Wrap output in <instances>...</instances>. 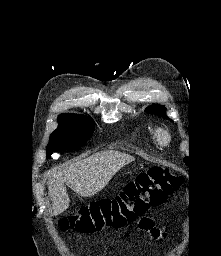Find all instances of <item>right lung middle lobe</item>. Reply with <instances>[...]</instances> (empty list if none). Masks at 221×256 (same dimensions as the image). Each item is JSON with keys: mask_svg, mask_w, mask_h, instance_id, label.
<instances>
[{"mask_svg": "<svg viewBox=\"0 0 221 256\" xmlns=\"http://www.w3.org/2000/svg\"><path fill=\"white\" fill-rule=\"evenodd\" d=\"M57 120L60 125L50 136L47 158L57 150L82 147L95 130L90 116L72 114L59 116Z\"/></svg>", "mask_w": 221, "mask_h": 256, "instance_id": "dd1d6c3e", "label": "right lung middle lobe"}]
</instances>
